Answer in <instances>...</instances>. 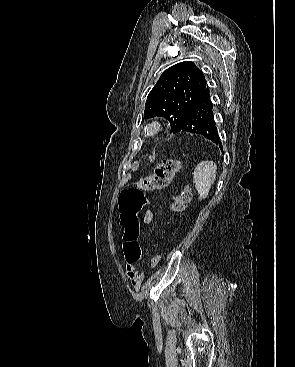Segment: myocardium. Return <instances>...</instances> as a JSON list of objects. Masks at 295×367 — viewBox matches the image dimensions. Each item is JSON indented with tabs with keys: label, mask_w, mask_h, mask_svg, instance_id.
<instances>
[{
	"label": "myocardium",
	"mask_w": 295,
	"mask_h": 367,
	"mask_svg": "<svg viewBox=\"0 0 295 367\" xmlns=\"http://www.w3.org/2000/svg\"><path fill=\"white\" fill-rule=\"evenodd\" d=\"M161 130H162V123L157 119H153V120L147 122L143 126V129H142L143 134L146 137H154L158 133H160Z\"/></svg>",
	"instance_id": "1"
}]
</instances>
